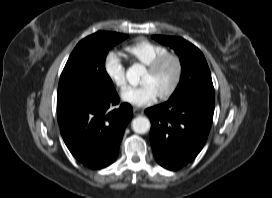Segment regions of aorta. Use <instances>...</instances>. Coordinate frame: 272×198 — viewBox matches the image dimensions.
Returning <instances> with one entry per match:
<instances>
[{
	"mask_svg": "<svg viewBox=\"0 0 272 198\" xmlns=\"http://www.w3.org/2000/svg\"><path fill=\"white\" fill-rule=\"evenodd\" d=\"M146 72V69L141 64H134L130 66L126 71V78L132 85H137L140 81V77ZM150 121L146 117H136L132 121V129L134 132L144 134L150 129Z\"/></svg>",
	"mask_w": 272,
	"mask_h": 198,
	"instance_id": "aorta-1",
	"label": "aorta"
}]
</instances>
